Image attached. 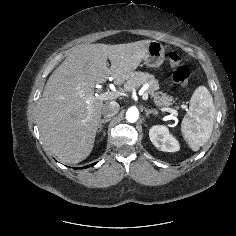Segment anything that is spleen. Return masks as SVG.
I'll return each mask as SVG.
<instances>
[{"mask_svg":"<svg viewBox=\"0 0 236 236\" xmlns=\"http://www.w3.org/2000/svg\"><path fill=\"white\" fill-rule=\"evenodd\" d=\"M215 118L213 98L205 86L193 93L189 111L181 123V131L193 151H198L210 138Z\"/></svg>","mask_w":236,"mask_h":236,"instance_id":"1","label":"spleen"}]
</instances>
